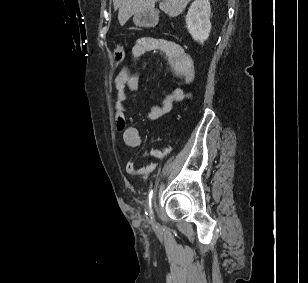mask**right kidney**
<instances>
[{
    "instance_id": "right-kidney-1",
    "label": "right kidney",
    "mask_w": 308,
    "mask_h": 283,
    "mask_svg": "<svg viewBox=\"0 0 308 283\" xmlns=\"http://www.w3.org/2000/svg\"><path fill=\"white\" fill-rule=\"evenodd\" d=\"M210 14L209 0H195L186 15V27L190 35L201 44L207 40L211 31Z\"/></svg>"
}]
</instances>
